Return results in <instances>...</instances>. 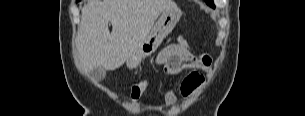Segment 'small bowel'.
I'll return each mask as SVG.
<instances>
[{
    "label": "small bowel",
    "mask_w": 305,
    "mask_h": 116,
    "mask_svg": "<svg viewBox=\"0 0 305 116\" xmlns=\"http://www.w3.org/2000/svg\"><path fill=\"white\" fill-rule=\"evenodd\" d=\"M211 57L208 54L195 55L189 48L187 42H179L165 47L157 56L156 63L163 68L167 76L179 74L184 69H191L197 74L195 79L188 78V75L180 84L179 92L182 97H191L203 84L204 78L197 71H207L211 66ZM190 74V73H189ZM165 101L174 107L178 97L167 80L164 85Z\"/></svg>",
    "instance_id": "small-bowel-1"
}]
</instances>
